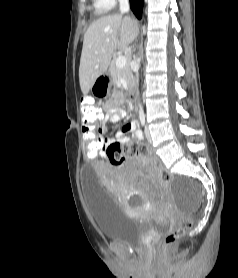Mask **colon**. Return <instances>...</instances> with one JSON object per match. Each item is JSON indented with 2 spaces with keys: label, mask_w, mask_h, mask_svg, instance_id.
Listing matches in <instances>:
<instances>
[{
  "label": "colon",
  "mask_w": 238,
  "mask_h": 278,
  "mask_svg": "<svg viewBox=\"0 0 238 278\" xmlns=\"http://www.w3.org/2000/svg\"><path fill=\"white\" fill-rule=\"evenodd\" d=\"M80 131H84V159H99V154L103 153V113L100 111L92 97H86L81 101ZM107 157L112 165L121 164L127 157H137L154 166L163 183H169L172 175L163 166L146 145L130 143L121 146L112 143L107 148ZM192 226L189 215L180 214L176 226L170 230L161 244V249L167 250L178 243Z\"/></svg>",
  "instance_id": "1"
}]
</instances>
